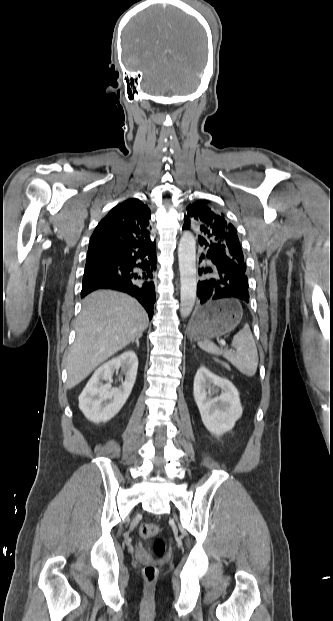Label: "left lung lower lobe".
Wrapping results in <instances>:
<instances>
[{
	"instance_id": "0a47b994",
	"label": "left lung lower lobe",
	"mask_w": 333,
	"mask_h": 621,
	"mask_svg": "<svg viewBox=\"0 0 333 621\" xmlns=\"http://www.w3.org/2000/svg\"><path fill=\"white\" fill-rule=\"evenodd\" d=\"M198 242L205 247L200 261L205 258L211 264V267L198 270L202 276L197 284L200 304L222 298H237L249 302L246 269L239 267L229 256L210 246L206 240L200 238Z\"/></svg>"
}]
</instances>
